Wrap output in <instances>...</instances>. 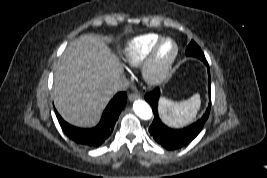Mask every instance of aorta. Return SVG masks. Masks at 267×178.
<instances>
[{
	"instance_id": "1",
	"label": "aorta",
	"mask_w": 267,
	"mask_h": 178,
	"mask_svg": "<svg viewBox=\"0 0 267 178\" xmlns=\"http://www.w3.org/2000/svg\"><path fill=\"white\" fill-rule=\"evenodd\" d=\"M134 112L143 120H149L153 116V112L148 103L143 100H136L133 103Z\"/></svg>"
}]
</instances>
